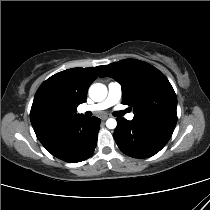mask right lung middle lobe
I'll return each instance as SVG.
<instances>
[{
    "label": "right lung middle lobe",
    "instance_id": "obj_1",
    "mask_svg": "<svg viewBox=\"0 0 210 210\" xmlns=\"http://www.w3.org/2000/svg\"><path fill=\"white\" fill-rule=\"evenodd\" d=\"M55 122V118L52 114L43 115L39 121V127L46 128Z\"/></svg>",
    "mask_w": 210,
    "mask_h": 210
}]
</instances>
